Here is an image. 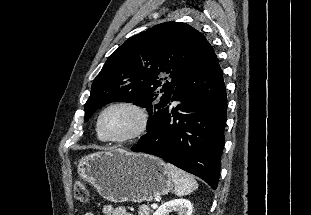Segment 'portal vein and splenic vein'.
Instances as JSON below:
<instances>
[{"label": "portal vein and splenic vein", "instance_id": "1", "mask_svg": "<svg viewBox=\"0 0 311 215\" xmlns=\"http://www.w3.org/2000/svg\"><path fill=\"white\" fill-rule=\"evenodd\" d=\"M151 207L155 209V208H157V204L154 203L151 205Z\"/></svg>", "mask_w": 311, "mask_h": 215}]
</instances>
